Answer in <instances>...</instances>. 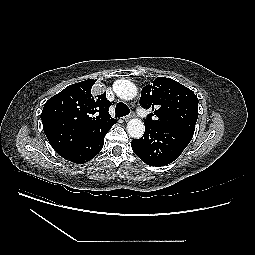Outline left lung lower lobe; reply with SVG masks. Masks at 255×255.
Returning <instances> with one entry per match:
<instances>
[{
	"label": "left lung lower lobe",
	"mask_w": 255,
	"mask_h": 255,
	"mask_svg": "<svg viewBox=\"0 0 255 255\" xmlns=\"http://www.w3.org/2000/svg\"><path fill=\"white\" fill-rule=\"evenodd\" d=\"M192 132L145 125L144 135L131 143L134 153L147 165L165 166L175 161L190 143Z\"/></svg>",
	"instance_id": "0a47b994"
}]
</instances>
